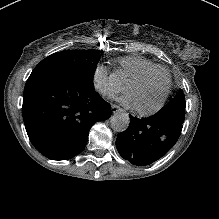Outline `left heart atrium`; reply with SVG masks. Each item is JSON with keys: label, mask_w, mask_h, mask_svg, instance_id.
I'll return each instance as SVG.
<instances>
[{"label": "left heart atrium", "mask_w": 219, "mask_h": 219, "mask_svg": "<svg viewBox=\"0 0 219 219\" xmlns=\"http://www.w3.org/2000/svg\"><path fill=\"white\" fill-rule=\"evenodd\" d=\"M120 100L127 106L130 108H134V109H139L137 102L135 101V99L130 95V94H124Z\"/></svg>", "instance_id": "left-heart-atrium-1"}]
</instances>
